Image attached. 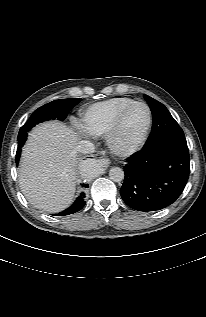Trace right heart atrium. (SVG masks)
I'll return each instance as SVG.
<instances>
[{
  "mask_svg": "<svg viewBox=\"0 0 206 317\" xmlns=\"http://www.w3.org/2000/svg\"><path fill=\"white\" fill-rule=\"evenodd\" d=\"M79 130H80L81 133H83V134L85 133L84 130H82V129H80V128H79Z\"/></svg>",
  "mask_w": 206,
  "mask_h": 317,
  "instance_id": "right-heart-atrium-1",
  "label": "right heart atrium"
}]
</instances>
